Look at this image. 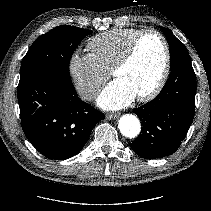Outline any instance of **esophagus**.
Returning a JSON list of instances; mask_svg holds the SVG:
<instances>
[{
    "label": "esophagus",
    "instance_id": "obj_1",
    "mask_svg": "<svg viewBox=\"0 0 211 211\" xmlns=\"http://www.w3.org/2000/svg\"><path fill=\"white\" fill-rule=\"evenodd\" d=\"M119 116H120L119 113H108V114L106 115L107 119H109V120H111V119H116V118H118Z\"/></svg>",
    "mask_w": 211,
    "mask_h": 211
}]
</instances>
